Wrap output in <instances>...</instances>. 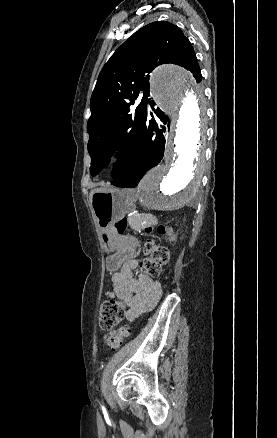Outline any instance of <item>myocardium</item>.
I'll return each instance as SVG.
<instances>
[{
  "mask_svg": "<svg viewBox=\"0 0 277 438\" xmlns=\"http://www.w3.org/2000/svg\"><path fill=\"white\" fill-rule=\"evenodd\" d=\"M124 145L123 144H117L113 147L112 151H111V157L114 159H118L122 156V154L124 153Z\"/></svg>",
  "mask_w": 277,
  "mask_h": 438,
  "instance_id": "myocardium-1",
  "label": "myocardium"
}]
</instances>
